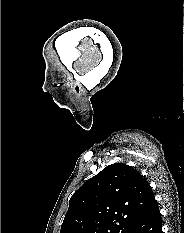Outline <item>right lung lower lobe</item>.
Returning <instances> with one entry per match:
<instances>
[{
	"label": "right lung lower lobe",
	"instance_id": "98d812e1",
	"mask_svg": "<svg viewBox=\"0 0 184 233\" xmlns=\"http://www.w3.org/2000/svg\"><path fill=\"white\" fill-rule=\"evenodd\" d=\"M126 233H163L161 214L157 203L136 221Z\"/></svg>",
	"mask_w": 184,
	"mask_h": 233
}]
</instances>
